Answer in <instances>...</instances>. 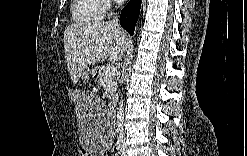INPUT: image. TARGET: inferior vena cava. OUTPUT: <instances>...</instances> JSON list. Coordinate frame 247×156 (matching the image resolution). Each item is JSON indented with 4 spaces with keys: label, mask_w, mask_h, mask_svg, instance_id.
I'll return each instance as SVG.
<instances>
[{
    "label": "inferior vena cava",
    "mask_w": 247,
    "mask_h": 156,
    "mask_svg": "<svg viewBox=\"0 0 247 156\" xmlns=\"http://www.w3.org/2000/svg\"><path fill=\"white\" fill-rule=\"evenodd\" d=\"M114 25L118 26V17H114V19L111 21ZM117 120H118V132L120 138H124V127H123V121H124V109H123V101L121 100L119 103L118 113H117Z\"/></svg>",
    "instance_id": "inferior-vena-cava-1"
}]
</instances>
